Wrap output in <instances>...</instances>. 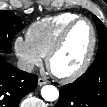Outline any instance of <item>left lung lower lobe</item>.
<instances>
[{"mask_svg":"<svg viewBox=\"0 0 107 107\" xmlns=\"http://www.w3.org/2000/svg\"><path fill=\"white\" fill-rule=\"evenodd\" d=\"M87 72V80H76L60 88L55 107H107V64L103 51H98Z\"/></svg>","mask_w":107,"mask_h":107,"instance_id":"1","label":"left lung lower lobe"}]
</instances>
